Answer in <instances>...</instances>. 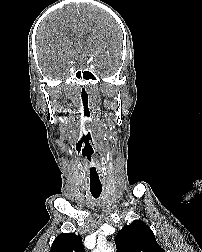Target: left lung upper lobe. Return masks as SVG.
<instances>
[{"mask_svg": "<svg viewBox=\"0 0 202 252\" xmlns=\"http://www.w3.org/2000/svg\"><path fill=\"white\" fill-rule=\"evenodd\" d=\"M115 242L118 252H165L149 226L141 220H134L119 230Z\"/></svg>", "mask_w": 202, "mask_h": 252, "instance_id": "left-lung-upper-lobe-1", "label": "left lung upper lobe"}]
</instances>
